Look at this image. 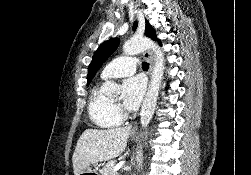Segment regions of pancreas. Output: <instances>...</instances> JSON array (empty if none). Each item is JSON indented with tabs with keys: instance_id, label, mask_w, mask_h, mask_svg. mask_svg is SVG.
Masks as SVG:
<instances>
[{
	"instance_id": "1",
	"label": "pancreas",
	"mask_w": 251,
	"mask_h": 175,
	"mask_svg": "<svg viewBox=\"0 0 251 175\" xmlns=\"http://www.w3.org/2000/svg\"><path fill=\"white\" fill-rule=\"evenodd\" d=\"M116 159H111V161H108L106 165H103L100 175H119L117 171H113L115 167Z\"/></svg>"
}]
</instances>
